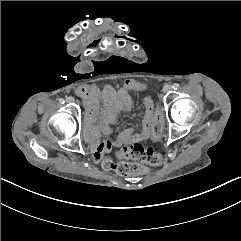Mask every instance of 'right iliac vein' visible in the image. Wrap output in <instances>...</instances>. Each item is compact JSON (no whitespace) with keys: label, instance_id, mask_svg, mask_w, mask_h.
Listing matches in <instances>:
<instances>
[{"label":"right iliac vein","instance_id":"right-iliac-vein-1","mask_svg":"<svg viewBox=\"0 0 241 241\" xmlns=\"http://www.w3.org/2000/svg\"><path fill=\"white\" fill-rule=\"evenodd\" d=\"M66 101H67V102H71V101H74V99H73L72 97H68V98L66 99Z\"/></svg>","mask_w":241,"mask_h":241}]
</instances>
